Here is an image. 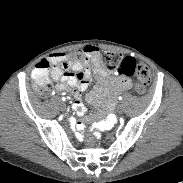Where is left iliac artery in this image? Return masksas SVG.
Returning <instances> with one entry per match:
<instances>
[{
    "instance_id": "obj_1",
    "label": "left iliac artery",
    "mask_w": 183,
    "mask_h": 183,
    "mask_svg": "<svg viewBox=\"0 0 183 183\" xmlns=\"http://www.w3.org/2000/svg\"><path fill=\"white\" fill-rule=\"evenodd\" d=\"M118 99H119V100H122V97L120 96Z\"/></svg>"
}]
</instances>
